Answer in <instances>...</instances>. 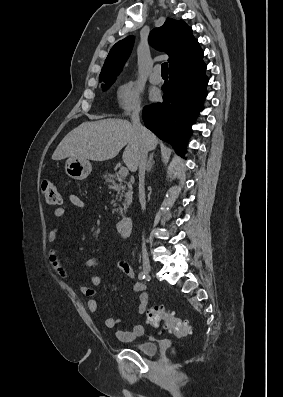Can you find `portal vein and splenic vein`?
<instances>
[{
    "instance_id": "obj_1",
    "label": "portal vein and splenic vein",
    "mask_w": 283,
    "mask_h": 397,
    "mask_svg": "<svg viewBox=\"0 0 283 397\" xmlns=\"http://www.w3.org/2000/svg\"><path fill=\"white\" fill-rule=\"evenodd\" d=\"M119 174L122 177L127 176L128 175V169L126 167H121L120 170H119Z\"/></svg>"
}]
</instances>
